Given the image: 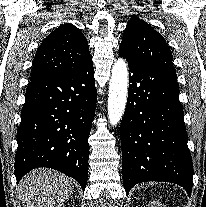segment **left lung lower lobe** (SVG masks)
Segmentation results:
<instances>
[{"mask_svg":"<svg viewBox=\"0 0 206 207\" xmlns=\"http://www.w3.org/2000/svg\"><path fill=\"white\" fill-rule=\"evenodd\" d=\"M129 62V90L120 126L126 194L146 181H165L192 191L193 165L176 72Z\"/></svg>","mask_w":206,"mask_h":207,"instance_id":"0a47b994","label":"left lung lower lobe"}]
</instances>
